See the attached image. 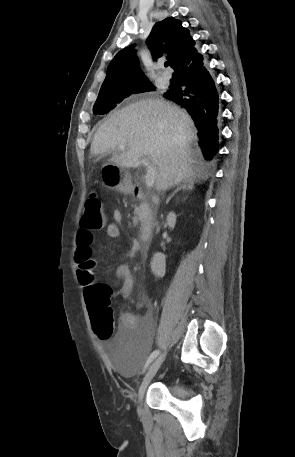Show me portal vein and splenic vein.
<instances>
[{
  "label": "portal vein and splenic vein",
  "mask_w": 295,
  "mask_h": 457,
  "mask_svg": "<svg viewBox=\"0 0 295 457\" xmlns=\"http://www.w3.org/2000/svg\"><path fill=\"white\" fill-rule=\"evenodd\" d=\"M119 148L123 150L125 148V145L121 143L119 145ZM142 164L146 166L147 172L145 175V184L148 188H151L155 182L156 175H157V168L153 166L148 159H142Z\"/></svg>",
  "instance_id": "18ae733b"
}]
</instances>
